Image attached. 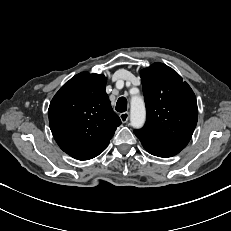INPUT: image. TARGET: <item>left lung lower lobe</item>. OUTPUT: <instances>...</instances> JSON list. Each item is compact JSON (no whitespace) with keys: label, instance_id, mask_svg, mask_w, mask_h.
Instances as JSON below:
<instances>
[{"label":"left lung lower lobe","instance_id":"0a47b994","mask_svg":"<svg viewBox=\"0 0 231 231\" xmlns=\"http://www.w3.org/2000/svg\"><path fill=\"white\" fill-rule=\"evenodd\" d=\"M138 137V136H137ZM143 145V147L152 155L158 157H171L177 154V152L167 149L165 147L159 146L155 143H152L146 139L138 137Z\"/></svg>","mask_w":231,"mask_h":231}]
</instances>
